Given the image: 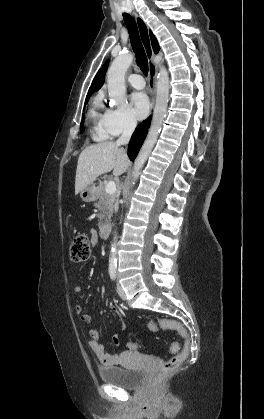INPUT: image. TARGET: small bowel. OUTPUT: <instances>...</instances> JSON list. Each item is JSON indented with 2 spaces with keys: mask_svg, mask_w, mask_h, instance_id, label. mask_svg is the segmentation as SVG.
Masks as SVG:
<instances>
[{
  "mask_svg": "<svg viewBox=\"0 0 264 419\" xmlns=\"http://www.w3.org/2000/svg\"><path fill=\"white\" fill-rule=\"evenodd\" d=\"M91 241L93 244H96L97 242V235L96 232L94 230L91 231ZM85 285L84 284H77L74 288L76 293H82L85 291ZM76 312L80 315V319L82 322L86 323V324H90L92 321L91 316L84 312V309L81 305L77 304L76 307ZM122 328L125 329V325L122 324ZM89 336H90V340H89V346L92 349V351L94 352V354L96 355L97 359L100 361V363L105 366V367H110V366H115V365H119L122 362V355H126L127 352H124L121 355L118 354H107L104 351V348L102 347V345L99 343V339H100V332L97 329L91 328L89 330ZM112 342L115 345H119L121 343V334L120 333H115L112 336ZM128 347L132 350H137L136 348L133 347V343H129Z\"/></svg>",
  "mask_w": 264,
  "mask_h": 419,
  "instance_id": "small-bowel-1",
  "label": "small bowel"
}]
</instances>
